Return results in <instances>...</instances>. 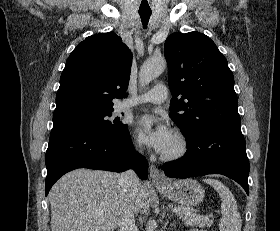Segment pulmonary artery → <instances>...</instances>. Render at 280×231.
<instances>
[{"instance_id":"e3ab8cb5","label":"pulmonary artery","mask_w":280,"mask_h":231,"mask_svg":"<svg viewBox=\"0 0 280 231\" xmlns=\"http://www.w3.org/2000/svg\"><path fill=\"white\" fill-rule=\"evenodd\" d=\"M167 97V88L164 85L159 84L153 87L147 93H144L134 99L125 101V105L126 107H132L145 103L162 104L166 101Z\"/></svg>"}]
</instances>
